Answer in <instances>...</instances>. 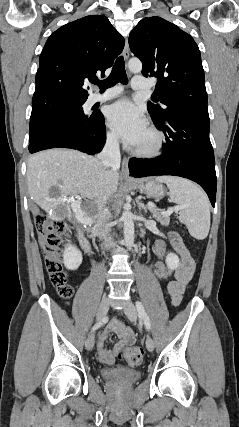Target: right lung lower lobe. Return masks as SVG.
<instances>
[{"instance_id":"right-lung-lower-lobe-1","label":"right lung lower lobe","mask_w":239,"mask_h":427,"mask_svg":"<svg viewBox=\"0 0 239 427\" xmlns=\"http://www.w3.org/2000/svg\"><path fill=\"white\" fill-rule=\"evenodd\" d=\"M106 141L104 116L93 114L83 121L73 111L50 118L30 141V153L49 148H71L94 155Z\"/></svg>"}]
</instances>
